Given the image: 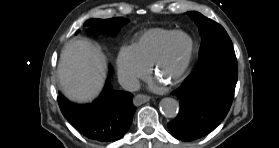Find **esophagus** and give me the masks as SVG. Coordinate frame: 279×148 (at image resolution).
<instances>
[{
    "mask_svg": "<svg viewBox=\"0 0 279 148\" xmlns=\"http://www.w3.org/2000/svg\"><path fill=\"white\" fill-rule=\"evenodd\" d=\"M150 100V97L147 96V95H143V94H138L134 97V100H133V104L135 106H139L143 103H146Z\"/></svg>",
    "mask_w": 279,
    "mask_h": 148,
    "instance_id": "1",
    "label": "esophagus"
}]
</instances>
